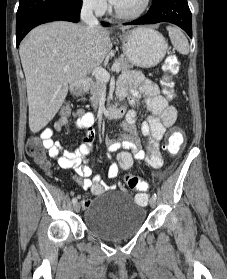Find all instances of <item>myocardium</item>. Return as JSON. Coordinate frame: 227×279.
Instances as JSON below:
<instances>
[{
  "label": "myocardium",
  "instance_id": "myocardium-1",
  "mask_svg": "<svg viewBox=\"0 0 227 279\" xmlns=\"http://www.w3.org/2000/svg\"><path fill=\"white\" fill-rule=\"evenodd\" d=\"M151 4V0H143V4L141 6V8L139 10H137L136 12L133 13H123L122 11H120L115 5H113V10L115 15L118 18H122V19H136L141 17L142 15H144Z\"/></svg>",
  "mask_w": 227,
  "mask_h": 279
}]
</instances>
